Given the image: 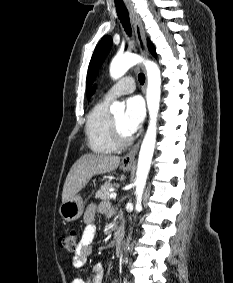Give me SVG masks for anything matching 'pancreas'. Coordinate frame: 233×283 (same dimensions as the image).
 <instances>
[{"mask_svg":"<svg viewBox=\"0 0 233 283\" xmlns=\"http://www.w3.org/2000/svg\"><path fill=\"white\" fill-rule=\"evenodd\" d=\"M116 186L114 183L107 182L103 184L100 189L96 192L95 197L100 198L101 200H109L110 198V188Z\"/></svg>","mask_w":233,"mask_h":283,"instance_id":"1","label":"pancreas"}]
</instances>
